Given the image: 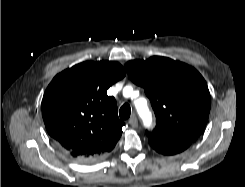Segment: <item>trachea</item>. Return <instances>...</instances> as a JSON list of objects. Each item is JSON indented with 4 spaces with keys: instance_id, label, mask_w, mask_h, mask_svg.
Here are the masks:
<instances>
[{
    "instance_id": "3493384b",
    "label": "trachea",
    "mask_w": 245,
    "mask_h": 187,
    "mask_svg": "<svg viewBox=\"0 0 245 187\" xmlns=\"http://www.w3.org/2000/svg\"><path fill=\"white\" fill-rule=\"evenodd\" d=\"M130 114H131V108H130V105L129 104H124L120 110H119V116L121 119H128L130 117Z\"/></svg>"
}]
</instances>
